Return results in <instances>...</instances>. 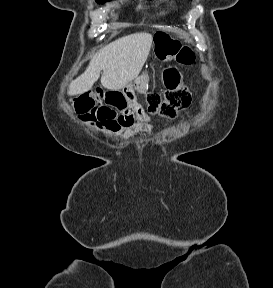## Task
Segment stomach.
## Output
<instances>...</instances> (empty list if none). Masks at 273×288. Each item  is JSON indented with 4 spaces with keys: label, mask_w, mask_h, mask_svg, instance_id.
Wrapping results in <instances>:
<instances>
[{
    "label": "stomach",
    "mask_w": 273,
    "mask_h": 288,
    "mask_svg": "<svg viewBox=\"0 0 273 288\" xmlns=\"http://www.w3.org/2000/svg\"><path fill=\"white\" fill-rule=\"evenodd\" d=\"M174 41L171 36L166 33H161L155 36L154 40V55L161 61H168L174 57ZM148 77L147 75L143 74L139 77L135 83L138 84L139 82H147Z\"/></svg>",
    "instance_id": "0dacf381"
}]
</instances>
